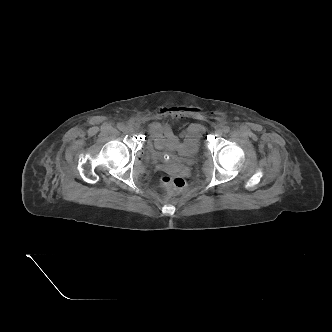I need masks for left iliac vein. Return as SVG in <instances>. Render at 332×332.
I'll use <instances>...</instances> for the list:
<instances>
[{"mask_svg":"<svg viewBox=\"0 0 332 332\" xmlns=\"http://www.w3.org/2000/svg\"><path fill=\"white\" fill-rule=\"evenodd\" d=\"M216 134H217L218 136H221V135L223 134V130H222V129H217V130H216Z\"/></svg>","mask_w":332,"mask_h":332,"instance_id":"1","label":"left iliac vein"}]
</instances>
